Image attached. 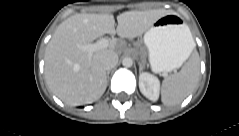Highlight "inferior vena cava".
<instances>
[{
	"instance_id": "1",
	"label": "inferior vena cava",
	"mask_w": 239,
	"mask_h": 136,
	"mask_svg": "<svg viewBox=\"0 0 239 136\" xmlns=\"http://www.w3.org/2000/svg\"><path fill=\"white\" fill-rule=\"evenodd\" d=\"M102 66L105 70H111L118 63V55L116 53H109L101 57Z\"/></svg>"
}]
</instances>
